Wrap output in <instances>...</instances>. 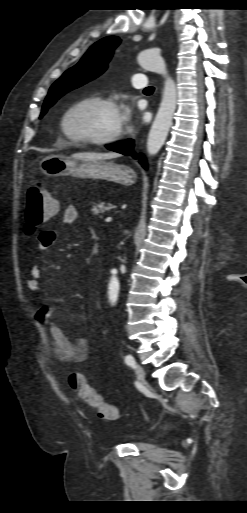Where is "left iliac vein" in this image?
Wrapping results in <instances>:
<instances>
[{"label":"left iliac vein","mask_w":247,"mask_h":513,"mask_svg":"<svg viewBox=\"0 0 247 513\" xmlns=\"http://www.w3.org/2000/svg\"><path fill=\"white\" fill-rule=\"evenodd\" d=\"M135 371H136V375H137L138 379L144 380V378H145V371H144L143 367L141 365H139V364H136Z\"/></svg>","instance_id":"obj_1"}]
</instances>
